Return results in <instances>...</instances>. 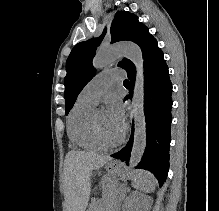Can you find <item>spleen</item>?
Masks as SVG:
<instances>
[{
    "label": "spleen",
    "instance_id": "3e777b00",
    "mask_svg": "<svg viewBox=\"0 0 219 211\" xmlns=\"http://www.w3.org/2000/svg\"><path fill=\"white\" fill-rule=\"evenodd\" d=\"M132 185L144 193H151L155 189L156 179L150 171H134Z\"/></svg>",
    "mask_w": 219,
    "mask_h": 211
}]
</instances>
